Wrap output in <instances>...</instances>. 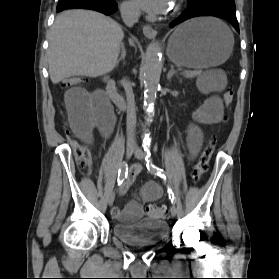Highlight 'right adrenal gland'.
Returning <instances> with one entry per match:
<instances>
[{"label":"right adrenal gland","instance_id":"1","mask_svg":"<svg viewBox=\"0 0 279 279\" xmlns=\"http://www.w3.org/2000/svg\"><path fill=\"white\" fill-rule=\"evenodd\" d=\"M125 57H126V50H125L124 45H122L121 46V55H120L119 59L117 60L116 65L118 66L120 61L125 60Z\"/></svg>","mask_w":279,"mask_h":279}]
</instances>
